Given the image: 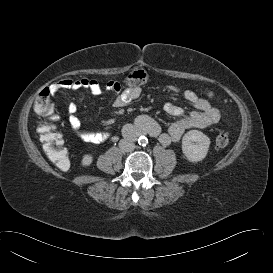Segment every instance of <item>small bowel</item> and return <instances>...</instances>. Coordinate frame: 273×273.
Masks as SVG:
<instances>
[{
    "instance_id": "obj_1",
    "label": "small bowel",
    "mask_w": 273,
    "mask_h": 273,
    "mask_svg": "<svg viewBox=\"0 0 273 273\" xmlns=\"http://www.w3.org/2000/svg\"><path fill=\"white\" fill-rule=\"evenodd\" d=\"M57 84L58 87L62 88L86 89L94 96H99L104 91L101 84L93 79H66L59 81ZM105 90L107 92L118 94L114 100V105L116 107L125 106L126 104L138 99L142 93L140 87L126 88L121 91V85L115 81L108 82ZM168 90L180 93L182 97L193 104L198 111L185 113L180 106L170 102L165 103L163 105L164 112L177 118L176 121L168 126L166 131H162L160 124L150 117L146 115L138 116L136 119V125L142 130L147 131L150 135L157 137L161 144L168 145L172 142L179 141L182 135L191 128H207L218 123L220 113L216 108L212 107L206 99L199 97L191 90H180L178 87L173 85L168 86ZM68 112L70 114L69 123L71 127L85 141L99 143L108 138V133L106 132L85 131L81 128V120L76 115L77 106L75 104H69Z\"/></svg>"
}]
</instances>
